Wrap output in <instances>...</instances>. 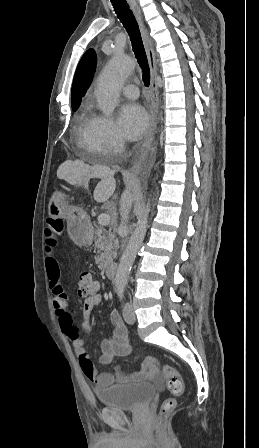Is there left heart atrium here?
I'll use <instances>...</instances> for the list:
<instances>
[{
	"mask_svg": "<svg viewBox=\"0 0 259 448\" xmlns=\"http://www.w3.org/2000/svg\"><path fill=\"white\" fill-rule=\"evenodd\" d=\"M147 124V114L140 104L130 102L120 108L118 125L125 139H138L145 131Z\"/></svg>",
	"mask_w": 259,
	"mask_h": 448,
	"instance_id": "1",
	"label": "left heart atrium"
}]
</instances>
